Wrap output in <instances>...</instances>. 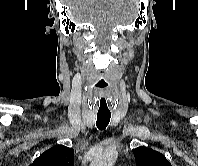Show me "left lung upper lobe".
<instances>
[{
    "instance_id": "1",
    "label": "left lung upper lobe",
    "mask_w": 198,
    "mask_h": 166,
    "mask_svg": "<svg viewBox=\"0 0 198 166\" xmlns=\"http://www.w3.org/2000/svg\"><path fill=\"white\" fill-rule=\"evenodd\" d=\"M133 154L136 166H171L164 155L144 146L133 149Z\"/></svg>"
}]
</instances>
